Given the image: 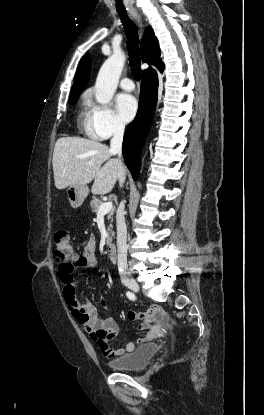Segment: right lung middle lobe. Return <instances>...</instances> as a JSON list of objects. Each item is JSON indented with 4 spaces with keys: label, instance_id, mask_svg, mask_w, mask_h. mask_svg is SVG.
<instances>
[{
    "label": "right lung middle lobe",
    "instance_id": "dd1d6c3e",
    "mask_svg": "<svg viewBox=\"0 0 264 415\" xmlns=\"http://www.w3.org/2000/svg\"><path fill=\"white\" fill-rule=\"evenodd\" d=\"M78 96L79 95L71 96L70 99H69V104H73L76 101V99H77Z\"/></svg>",
    "mask_w": 264,
    "mask_h": 415
}]
</instances>
